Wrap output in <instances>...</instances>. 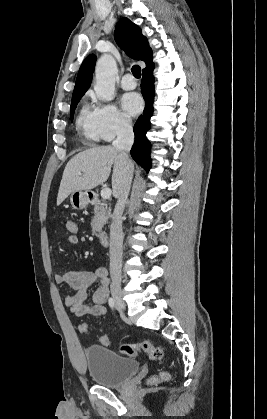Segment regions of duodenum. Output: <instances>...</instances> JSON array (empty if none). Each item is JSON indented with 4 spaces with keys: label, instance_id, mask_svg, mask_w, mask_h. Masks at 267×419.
Listing matches in <instances>:
<instances>
[{
    "label": "duodenum",
    "instance_id": "obj_1",
    "mask_svg": "<svg viewBox=\"0 0 267 419\" xmlns=\"http://www.w3.org/2000/svg\"><path fill=\"white\" fill-rule=\"evenodd\" d=\"M88 199L91 204H98L99 202V199L96 195H90ZM98 238L101 244L106 245L108 244V241H109V234L106 230L103 229L99 232Z\"/></svg>",
    "mask_w": 267,
    "mask_h": 419
}]
</instances>
